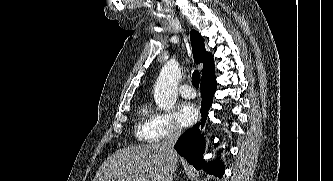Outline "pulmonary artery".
I'll list each match as a JSON object with an SVG mask.
<instances>
[{"label":"pulmonary artery","mask_w":333,"mask_h":181,"mask_svg":"<svg viewBox=\"0 0 333 181\" xmlns=\"http://www.w3.org/2000/svg\"><path fill=\"white\" fill-rule=\"evenodd\" d=\"M180 95L183 97V98H186V99H192L196 96V92L195 90L193 89V87L189 84H183L181 87H180Z\"/></svg>","instance_id":"e3ab8cb5"}]
</instances>
